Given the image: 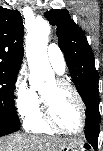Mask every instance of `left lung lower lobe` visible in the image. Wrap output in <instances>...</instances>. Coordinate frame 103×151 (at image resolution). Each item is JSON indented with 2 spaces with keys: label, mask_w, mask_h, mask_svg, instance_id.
Segmentation results:
<instances>
[{
  "label": "left lung lower lobe",
  "mask_w": 103,
  "mask_h": 151,
  "mask_svg": "<svg viewBox=\"0 0 103 151\" xmlns=\"http://www.w3.org/2000/svg\"><path fill=\"white\" fill-rule=\"evenodd\" d=\"M83 101L86 105L85 136L91 146L97 150L100 130L99 124L101 122L99 112L100 99L97 81H91L86 97Z\"/></svg>",
  "instance_id": "left-lung-lower-lobe-1"
}]
</instances>
